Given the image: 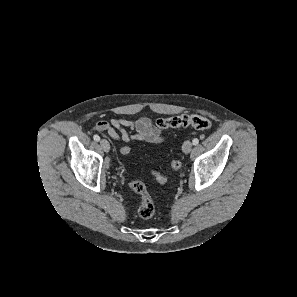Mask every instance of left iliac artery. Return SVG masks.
I'll list each match as a JSON object with an SVG mask.
<instances>
[{
	"instance_id": "left-iliac-artery-1",
	"label": "left iliac artery",
	"mask_w": 297,
	"mask_h": 297,
	"mask_svg": "<svg viewBox=\"0 0 297 297\" xmlns=\"http://www.w3.org/2000/svg\"><path fill=\"white\" fill-rule=\"evenodd\" d=\"M192 143H193V145H197V144L199 143L198 138H194V139L192 140Z\"/></svg>"
}]
</instances>
